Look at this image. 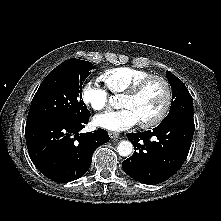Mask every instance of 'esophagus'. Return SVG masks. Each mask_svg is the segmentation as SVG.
I'll return each mask as SVG.
<instances>
[{
	"mask_svg": "<svg viewBox=\"0 0 221 221\" xmlns=\"http://www.w3.org/2000/svg\"><path fill=\"white\" fill-rule=\"evenodd\" d=\"M118 136H119V134L116 133V132H112V131L109 132V137H110L111 139H117Z\"/></svg>",
	"mask_w": 221,
	"mask_h": 221,
	"instance_id": "esophagus-1",
	"label": "esophagus"
}]
</instances>
